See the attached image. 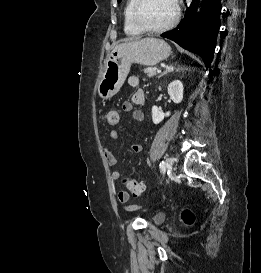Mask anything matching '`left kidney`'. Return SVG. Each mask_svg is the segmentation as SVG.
<instances>
[{
  "label": "left kidney",
  "instance_id": "1",
  "mask_svg": "<svg viewBox=\"0 0 261 273\" xmlns=\"http://www.w3.org/2000/svg\"><path fill=\"white\" fill-rule=\"evenodd\" d=\"M168 94L171 100L178 104L183 99V84L180 80L172 81L168 85ZM170 116V112L163 113L157 106L152 107V121L154 124H159L165 117Z\"/></svg>",
  "mask_w": 261,
  "mask_h": 273
}]
</instances>
